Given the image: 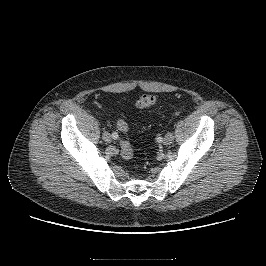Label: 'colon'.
Wrapping results in <instances>:
<instances>
[{
    "label": "colon",
    "mask_w": 266,
    "mask_h": 266,
    "mask_svg": "<svg viewBox=\"0 0 266 266\" xmlns=\"http://www.w3.org/2000/svg\"><path fill=\"white\" fill-rule=\"evenodd\" d=\"M156 104H157V98L151 94L142 95L136 102L137 108L142 110L152 108ZM117 128L124 135V137L120 141L121 156L125 160H131L134 156V152L129 139L126 137L129 131V125L126 121L119 120L117 122Z\"/></svg>",
    "instance_id": "obj_1"
}]
</instances>
